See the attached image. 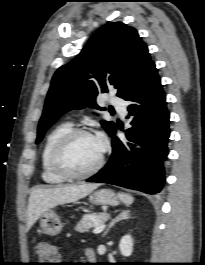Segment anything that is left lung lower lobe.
<instances>
[{
  "instance_id": "0a47b994",
  "label": "left lung lower lobe",
  "mask_w": 205,
  "mask_h": 265,
  "mask_svg": "<svg viewBox=\"0 0 205 265\" xmlns=\"http://www.w3.org/2000/svg\"><path fill=\"white\" fill-rule=\"evenodd\" d=\"M130 101L132 128L125 131L128 142L112 139V155L107 165L87 182L108 183L147 194L161 192L164 184V160L170 136L169 112L157 69L153 65L135 90ZM115 131L111 134L114 136Z\"/></svg>"
}]
</instances>
